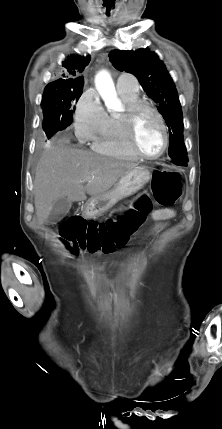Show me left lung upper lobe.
Segmentation results:
<instances>
[{
    "instance_id": "5c2ea615",
    "label": "left lung upper lobe",
    "mask_w": 222,
    "mask_h": 429,
    "mask_svg": "<svg viewBox=\"0 0 222 429\" xmlns=\"http://www.w3.org/2000/svg\"><path fill=\"white\" fill-rule=\"evenodd\" d=\"M109 58L119 71L135 75L144 91L159 105L158 111L169 128V158L188 162L179 97L169 72L157 54L148 49L113 50Z\"/></svg>"
}]
</instances>
